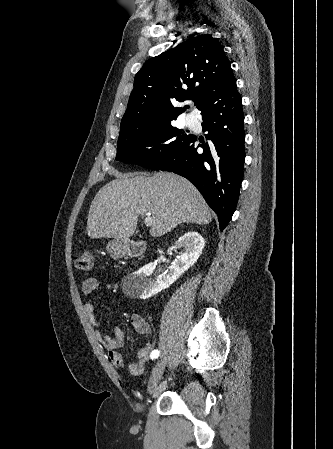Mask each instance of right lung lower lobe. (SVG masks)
<instances>
[{
    "label": "right lung lower lobe",
    "mask_w": 333,
    "mask_h": 449,
    "mask_svg": "<svg viewBox=\"0 0 333 449\" xmlns=\"http://www.w3.org/2000/svg\"><path fill=\"white\" fill-rule=\"evenodd\" d=\"M202 119L210 142L198 144L191 135L153 169L174 172L193 183L217 214L222 231L236 208L243 178L245 132L240 94L211 104L202 113ZM199 147L203 148L202 153L197 151Z\"/></svg>",
    "instance_id": "right-lung-lower-lobe-1"
}]
</instances>
